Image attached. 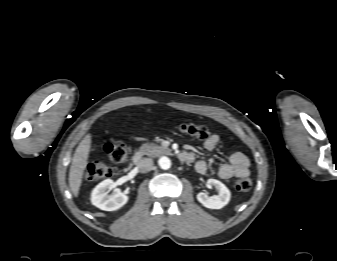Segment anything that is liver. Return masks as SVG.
I'll list each match as a JSON object with an SVG mask.
<instances>
[{
    "label": "liver",
    "mask_w": 337,
    "mask_h": 261,
    "mask_svg": "<svg viewBox=\"0 0 337 261\" xmlns=\"http://www.w3.org/2000/svg\"><path fill=\"white\" fill-rule=\"evenodd\" d=\"M91 134H87L75 150L69 172V186L72 194L78 197L83 173L88 164L91 149Z\"/></svg>",
    "instance_id": "obj_1"
}]
</instances>
